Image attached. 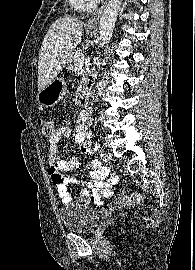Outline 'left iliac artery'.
Instances as JSON below:
<instances>
[{"label": "left iliac artery", "instance_id": "left-iliac-artery-1", "mask_svg": "<svg viewBox=\"0 0 195 270\" xmlns=\"http://www.w3.org/2000/svg\"><path fill=\"white\" fill-rule=\"evenodd\" d=\"M96 149H97L99 152H101V150H102V148H101V146H100L99 144L96 146Z\"/></svg>", "mask_w": 195, "mask_h": 270}]
</instances>
